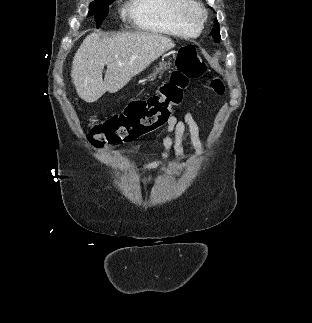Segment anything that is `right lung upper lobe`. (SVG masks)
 I'll list each match as a JSON object with an SVG mask.
<instances>
[{"label": "right lung upper lobe", "instance_id": "1", "mask_svg": "<svg viewBox=\"0 0 312 323\" xmlns=\"http://www.w3.org/2000/svg\"><path fill=\"white\" fill-rule=\"evenodd\" d=\"M96 2H101V3H104V2H108L110 0H95ZM94 2V1H93Z\"/></svg>", "mask_w": 312, "mask_h": 323}]
</instances>
